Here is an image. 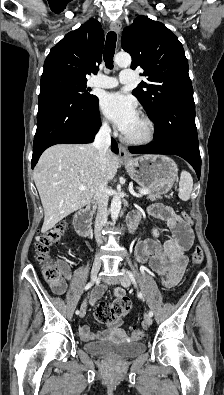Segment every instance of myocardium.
Instances as JSON below:
<instances>
[{"instance_id":"1","label":"myocardium","mask_w":224,"mask_h":395,"mask_svg":"<svg viewBox=\"0 0 224 395\" xmlns=\"http://www.w3.org/2000/svg\"><path fill=\"white\" fill-rule=\"evenodd\" d=\"M138 117L144 125L143 133L139 136H128L124 134L123 140L130 145L142 146L149 144L154 140L156 129L153 121L146 114L141 113Z\"/></svg>"}]
</instances>
